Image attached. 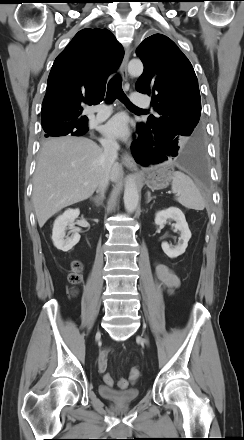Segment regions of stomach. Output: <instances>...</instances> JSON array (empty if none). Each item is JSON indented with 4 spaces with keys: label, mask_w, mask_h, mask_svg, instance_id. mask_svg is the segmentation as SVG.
I'll return each mask as SVG.
<instances>
[{
    "label": "stomach",
    "mask_w": 244,
    "mask_h": 440,
    "mask_svg": "<svg viewBox=\"0 0 244 440\" xmlns=\"http://www.w3.org/2000/svg\"><path fill=\"white\" fill-rule=\"evenodd\" d=\"M173 173L171 165L163 163L148 170L145 182L152 190L164 189L171 182Z\"/></svg>",
    "instance_id": "stomach-1"
}]
</instances>
